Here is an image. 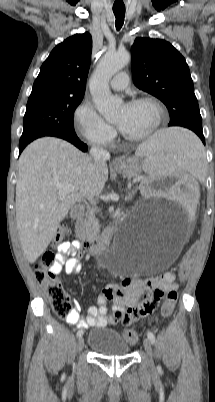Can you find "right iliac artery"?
Wrapping results in <instances>:
<instances>
[{"mask_svg": "<svg viewBox=\"0 0 215 402\" xmlns=\"http://www.w3.org/2000/svg\"><path fill=\"white\" fill-rule=\"evenodd\" d=\"M83 335V330H79L78 332H77V337H81Z\"/></svg>", "mask_w": 215, "mask_h": 402, "instance_id": "obj_1", "label": "right iliac artery"}]
</instances>
